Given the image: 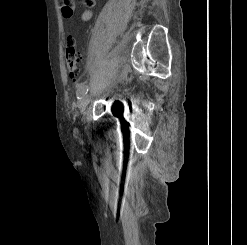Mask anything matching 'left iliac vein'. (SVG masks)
Listing matches in <instances>:
<instances>
[{
  "instance_id": "obj_1",
  "label": "left iliac vein",
  "mask_w": 247,
  "mask_h": 245,
  "mask_svg": "<svg viewBox=\"0 0 247 245\" xmlns=\"http://www.w3.org/2000/svg\"><path fill=\"white\" fill-rule=\"evenodd\" d=\"M89 102H90V96L84 95V96L81 98V100H80V102H79V108H80V110H81L82 112L86 110V108H87L88 105H89Z\"/></svg>"
}]
</instances>
